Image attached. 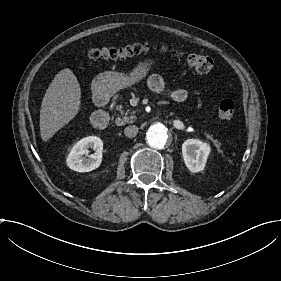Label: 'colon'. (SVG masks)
Returning a JSON list of instances; mask_svg holds the SVG:
<instances>
[{"label": "colon", "mask_w": 281, "mask_h": 281, "mask_svg": "<svg viewBox=\"0 0 281 281\" xmlns=\"http://www.w3.org/2000/svg\"><path fill=\"white\" fill-rule=\"evenodd\" d=\"M149 54H156L174 61H186L201 74H209L213 68L212 59L198 52H184L168 46L149 43H133L123 46L93 47L88 51L89 59L100 60H128ZM235 105L231 100H223L217 107V118L221 123L230 121L234 117Z\"/></svg>", "instance_id": "1"}]
</instances>
